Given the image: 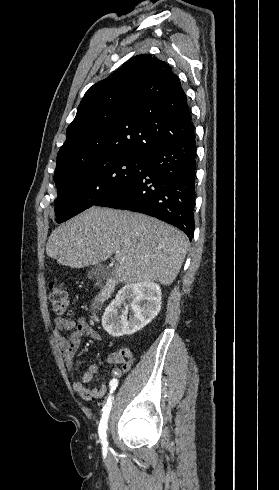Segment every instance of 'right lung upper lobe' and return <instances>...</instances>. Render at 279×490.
<instances>
[{
  "instance_id": "1",
  "label": "right lung upper lobe",
  "mask_w": 279,
  "mask_h": 490,
  "mask_svg": "<svg viewBox=\"0 0 279 490\" xmlns=\"http://www.w3.org/2000/svg\"><path fill=\"white\" fill-rule=\"evenodd\" d=\"M193 133L179 78L165 62L138 55L85 93L54 177L104 156L146 159Z\"/></svg>"
}]
</instances>
